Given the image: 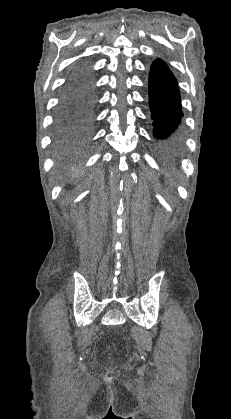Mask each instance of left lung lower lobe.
<instances>
[{
    "label": "left lung lower lobe",
    "mask_w": 231,
    "mask_h": 419,
    "mask_svg": "<svg viewBox=\"0 0 231 419\" xmlns=\"http://www.w3.org/2000/svg\"><path fill=\"white\" fill-rule=\"evenodd\" d=\"M149 106L161 153L170 159L176 157L182 143L180 93L174 75L161 59L154 61L149 73Z\"/></svg>",
    "instance_id": "left-lung-lower-lobe-1"
}]
</instances>
